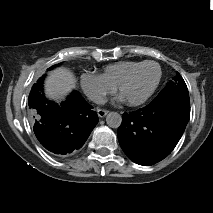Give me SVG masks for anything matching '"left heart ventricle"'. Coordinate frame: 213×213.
Masks as SVG:
<instances>
[{
    "label": "left heart ventricle",
    "instance_id": "b2bd125f",
    "mask_svg": "<svg viewBox=\"0 0 213 213\" xmlns=\"http://www.w3.org/2000/svg\"><path fill=\"white\" fill-rule=\"evenodd\" d=\"M157 78V68L145 65L138 69L131 79L123 86L120 95L126 101L139 100L152 89Z\"/></svg>",
    "mask_w": 213,
    "mask_h": 213
}]
</instances>
